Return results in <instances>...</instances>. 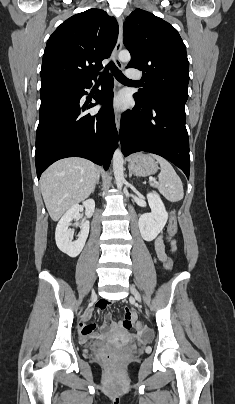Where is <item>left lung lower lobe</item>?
Returning a JSON list of instances; mask_svg holds the SVG:
<instances>
[{
    "instance_id": "1",
    "label": "left lung lower lobe",
    "mask_w": 235,
    "mask_h": 404,
    "mask_svg": "<svg viewBox=\"0 0 235 404\" xmlns=\"http://www.w3.org/2000/svg\"><path fill=\"white\" fill-rule=\"evenodd\" d=\"M135 98V97H134ZM122 114L120 143L124 156L145 151L160 155L179 167L189 179V139L185 102L160 98L142 102Z\"/></svg>"
}]
</instances>
